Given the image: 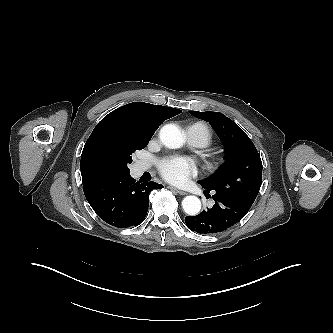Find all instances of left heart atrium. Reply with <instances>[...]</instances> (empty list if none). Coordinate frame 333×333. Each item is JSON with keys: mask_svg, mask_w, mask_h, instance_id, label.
<instances>
[{"mask_svg": "<svg viewBox=\"0 0 333 333\" xmlns=\"http://www.w3.org/2000/svg\"><path fill=\"white\" fill-rule=\"evenodd\" d=\"M160 173L166 181L183 185L196 173V167L189 158L175 157L161 163Z\"/></svg>", "mask_w": 333, "mask_h": 333, "instance_id": "1", "label": "left heart atrium"}]
</instances>
